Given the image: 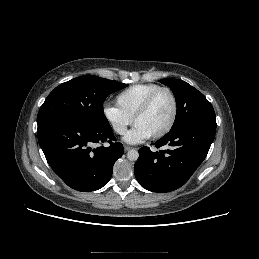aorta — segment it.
Returning <instances> with one entry per match:
<instances>
[{"mask_svg": "<svg viewBox=\"0 0 259 259\" xmlns=\"http://www.w3.org/2000/svg\"><path fill=\"white\" fill-rule=\"evenodd\" d=\"M139 157V153L138 151L132 149V150H129L128 153H127V158L130 160V161H136Z\"/></svg>", "mask_w": 259, "mask_h": 259, "instance_id": "obj_1", "label": "aorta"}]
</instances>
